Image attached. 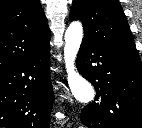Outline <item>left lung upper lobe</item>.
<instances>
[{"mask_svg": "<svg viewBox=\"0 0 142 128\" xmlns=\"http://www.w3.org/2000/svg\"><path fill=\"white\" fill-rule=\"evenodd\" d=\"M70 20H81L85 39L95 41L126 59L141 62L118 0H73Z\"/></svg>", "mask_w": 142, "mask_h": 128, "instance_id": "obj_1", "label": "left lung upper lobe"}]
</instances>
